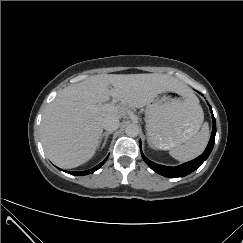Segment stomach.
Returning <instances> with one entry per match:
<instances>
[{
  "label": "stomach",
  "mask_w": 243,
  "mask_h": 243,
  "mask_svg": "<svg viewBox=\"0 0 243 243\" xmlns=\"http://www.w3.org/2000/svg\"><path fill=\"white\" fill-rule=\"evenodd\" d=\"M199 100L190 91L164 92L146 107V130L152 145L172 149L192 138L201 126Z\"/></svg>",
  "instance_id": "1"
}]
</instances>
